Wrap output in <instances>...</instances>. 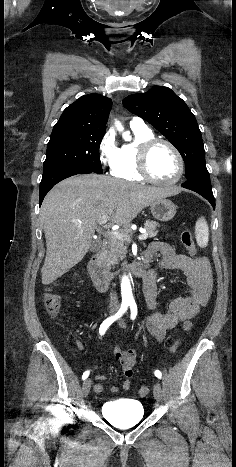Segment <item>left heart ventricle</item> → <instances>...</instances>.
Here are the masks:
<instances>
[{
  "mask_svg": "<svg viewBox=\"0 0 236 467\" xmlns=\"http://www.w3.org/2000/svg\"><path fill=\"white\" fill-rule=\"evenodd\" d=\"M149 169L156 179L168 181L178 174L179 163L169 147L158 144L150 153Z\"/></svg>",
  "mask_w": 236,
  "mask_h": 467,
  "instance_id": "obj_1",
  "label": "left heart ventricle"
}]
</instances>
